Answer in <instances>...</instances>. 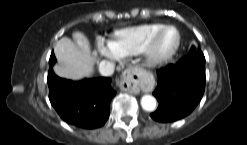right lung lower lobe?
Returning <instances> with one entry per match:
<instances>
[{
    "instance_id": "1",
    "label": "right lung lower lobe",
    "mask_w": 247,
    "mask_h": 145,
    "mask_svg": "<svg viewBox=\"0 0 247 145\" xmlns=\"http://www.w3.org/2000/svg\"><path fill=\"white\" fill-rule=\"evenodd\" d=\"M49 60V99L60 117L69 124L85 129L101 127L109 117V104L116 92L110 78L85 79L73 82L56 76Z\"/></svg>"
}]
</instances>
